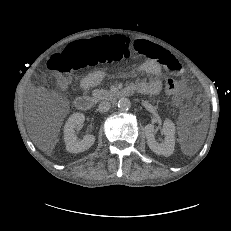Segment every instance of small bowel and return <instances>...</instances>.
Returning <instances> with one entry per match:
<instances>
[{"instance_id":"small-bowel-1","label":"small bowel","mask_w":231,"mask_h":231,"mask_svg":"<svg viewBox=\"0 0 231 231\" xmlns=\"http://www.w3.org/2000/svg\"><path fill=\"white\" fill-rule=\"evenodd\" d=\"M132 49L138 54L146 57L141 61L136 69L149 78L145 82H137L131 86L135 91L145 95H157L162 90L161 74L162 68H166L171 73L181 76L183 69L181 63L167 50L161 46L148 41L136 40L132 44ZM163 59V61H161ZM104 77L102 71H93L86 75L80 82L83 91H88L99 84Z\"/></svg>"}]
</instances>
